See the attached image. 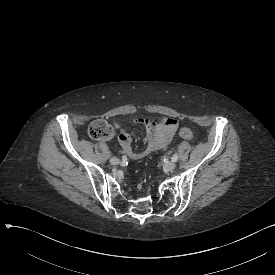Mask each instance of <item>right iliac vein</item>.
I'll list each match as a JSON object with an SVG mask.
<instances>
[{
	"mask_svg": "<svg viewBox=\"0 0 275 275\" xmlns=\"http://www.w3.org/2000/svg\"><path fill=\"white\" fill-rule=\"evenodd\" d=\"M110 162L112 165H118L120 163V160L117 157H112L110 159Z\"/></svg>",
	"mask_w": 275,
	"mask_h": 275,
	"instance_id": "right-iliac-vein-1",
	"label": "right iliac vein"
}]
</instances>
